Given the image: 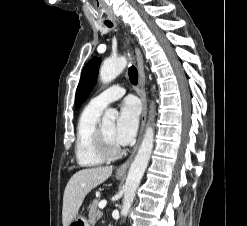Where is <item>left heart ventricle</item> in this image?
Masks as SVG:
<instances>
[{"label":"left heart ventricle","instance_id":"obj_1","mask_svg":"<svg viewBox=\"0 0 247 226\" xmlns=\"http://www.w3.org/2000/svg\"><path fill=\"white\" fill-rule=\"evenodd\" d=\"M114 128V124H107L102 126V132L110 149H116L120 147L114 139Z\"/></svg>","mask_w":247,"mask_h":226}]
</instances>
